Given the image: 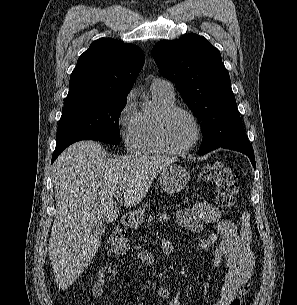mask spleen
I'll return each instance as SVG.
<instances>
[{
	"mask_svg": "<svg viewBox=\"0 0 297 305\" xmlns=\"http://www.w3.org/2000/svg\"><path fill=\"white\" fill-rule=\"evenodd\" d=\"M241 221H242V224L244 227V233L249 234L250 233V230H249L250 215L248 214V212H244L242 214Z\"/></svg>",
	"mask_w": 297,
	"mask_h": 305,
	"instance_id": "3e777b00",
	"label": "spleen"
}]
</instances>
